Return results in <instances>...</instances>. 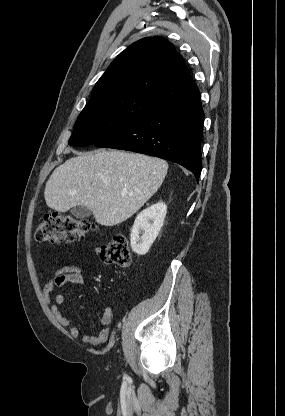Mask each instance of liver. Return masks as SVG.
Returning a JSON list of instances; mask_svg holds the SVG:
<instances>
[{
	"label": "liver",
	"instance_id": "obj_1",
	"mask_svg": "<svg viewBox=\"0 0 285 416\" xmlns=\"http://www.w3.org/2000/svg\"><path fill=\"white\" fill-rule=\"evenodd\" d=\"M68 152L74 150L67 148ZM167 170V162L160 158L102 148L58 166L45 186L44 198L55 212L86 206L101 226H117L159 190Z\"/></svg>",
	"mask_w": 285,
	"mask_h": 416
}]
</instances>
